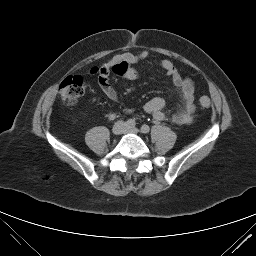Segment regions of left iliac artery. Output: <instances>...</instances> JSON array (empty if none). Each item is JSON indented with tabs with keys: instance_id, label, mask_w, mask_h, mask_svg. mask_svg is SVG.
Wrapping results in <instances>:
<instances>
[{
	"instance_id": "left-iliac-artery-1",
	"label": "left iliac artery",
	"mask_w": 256,
	"mask_h": 256,
	"mask_svg": "<svg viewBox=\"0 0 256 256\" xmlns=\"http://www.w3.org/2000/svg\"><path fill=\"white\" fill-rule=\"evenodd\" d=\"M149 131H150V127L148 125L144 124V125L141 126V132L142 133L146 134Z\"/></svg>"
}]
</instances>
